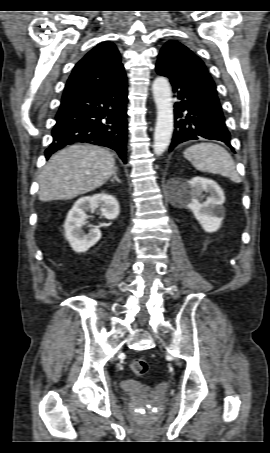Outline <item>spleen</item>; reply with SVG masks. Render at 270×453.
<instances>
[{
    "label": "spleen",
    "mask_w": 270,
    "mask_h": 453,
    "mask_svg": "<svg viewBox=\"0 0 270 453\" xmlns=\"http://www.w3.org/2000/svg\"><path fill=\"white\" fill-rule=\"evenodd\" d=\"M184 156L201 172L221 174L233 182H241L233 158L222 146L214 143H199L190 146Z\"/></svg>",
    "instance_id": "obj_1"
}]
</instances>
